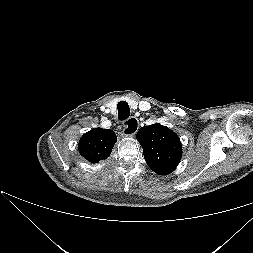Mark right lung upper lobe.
Wrapping results in <instances>:
<instances>
[{"mask_svg": "<svg viewBox=\"0 0 253 253\" xmlns=\"http://www.w3.org/2000/svg\"><path fill=\"white\" fill-rule=\"evenodd\" d=\"M116 140L115 132L110 129L90 130L79 141V153L89 162L97 163L110 155Z\"/></svg>", "mask_w": 253, "mask_h": 253, "instance_id": "cb5924a9", "label": "right lung upper lobe"}]
</instances>
